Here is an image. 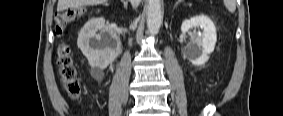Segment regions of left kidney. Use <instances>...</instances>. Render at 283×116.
Here are the masks:
<instances>
[{
    "mask_svg": "<svg viewBox=\"0 0 283 116\" xmlns=\"http://www.w3.org/2000/svg\"><path fill=\"white\" fill-rule=\"evenodd\" d=\"M193 27H201L203 33L192 38L185 49V57L193 65L199 66L206 63L209 55L214 51L217 33L214 23L206 15L195 16L183 21L181 31L186 33Z\"/></svg>",
    "mask_w": 283,
    "mask_h": 116,
    "instance_id": "5707ae66",
    "label": "left kidney"
}]
</instances>
